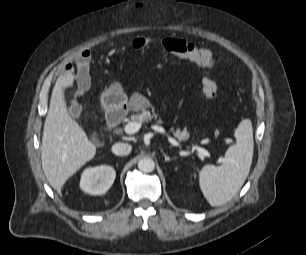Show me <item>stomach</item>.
Returning a JSON list of instances; mask_svg holds the SVG:
<instances>
[{
  "mask_svg": "<svg viewBox=\"0 0 306 255\" xmlns=\"http://www.w3.org/2000/svg\"><path fill=\"white\" fill-rule=\"evenodd\" d=\"M125 104H127V96L120 83L112 84L101 95V105L107 111L119 110Z\"/></svg>",
  "mask_w": 306,
  "mask_h": 255,
  "instance_id": "0dacf381",
  "label": "stomach"
}]
</instances>
